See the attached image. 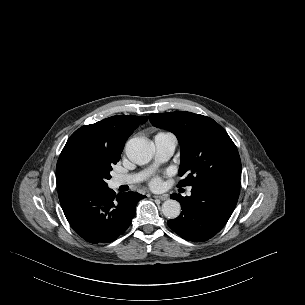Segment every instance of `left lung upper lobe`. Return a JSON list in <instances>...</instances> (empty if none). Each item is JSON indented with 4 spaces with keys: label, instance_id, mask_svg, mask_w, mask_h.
Listing matches in <instances>:
<instances>
[{
    "label": "left lung upper lobe",
    "instance_id": "1",
    "mask_svg": "<svg viewBox=\"0 0 305 305\" xmlns=\"http://www.w3.org/2000/svg\"><path fill=\"white\" fill-rule=\"evenodd\" d=\"M151 123L174 133L181 145L179 175H185L179 187L199 186L215 179L241 177L238 150L213 119L191 112L150 114Z\"/></svg>",
    "mask_w": 305,
    "mask_h": 305
}]
</instances>
